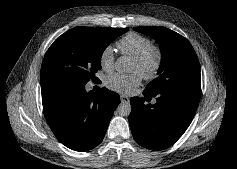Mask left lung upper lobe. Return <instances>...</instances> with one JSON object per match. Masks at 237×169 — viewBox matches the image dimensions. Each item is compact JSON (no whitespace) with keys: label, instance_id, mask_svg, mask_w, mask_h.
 I'll use <instances>...</instances> for the list:
<instances>
[{"label":"left lung upper lobe","instance_id":"5c2ea615","mask_svg":"<svg viewBox=\"0 0 237 169\" xmlns=\"http://www.w3.org/2000/svg\"><path fill=\"white\" fill-rule=\"evenodd\" d=\"M135 31L154 38L161 48L158 77L151 81L144 92L157 94L169 88L201 89L200 66L189 41L165 27H135Z\"/></svg>","mask_w":237,"mask_h":169}]
</instances>
